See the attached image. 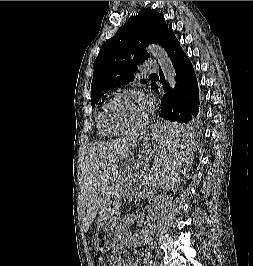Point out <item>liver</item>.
<instances>
[{"label":"liver","mask_w":253,"mask_h":266,"mask_svg":"<svg viewBox=\"0 0 253 266\" xmlns=\"http://www.w3.org/2000/svg\"><path fill=\"white\" fill-rule=\"evenodd\" d=\"M139 139V136L117 139L101 143L88 151L83 171V200L86 210L84 226L86 229L94 221L98 209L104 207L102 201L106 198L107 179L112 167Z\"/></svg>","instance_id":"liver-1"}]
</instances>
